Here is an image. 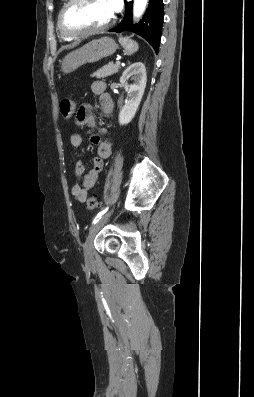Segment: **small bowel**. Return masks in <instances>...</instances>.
Masks as SVG:
<instances>
[{
	"instance_id": "c3829d8e",
	"label": "small bowel",
	"mask_w": 254,
	"mask_h": 397,
	"mask_svg": "<svg viewBox=\"0 0 254 397\" xmlns=\"http://www.w3.org/2000/svg\"><path fill=\"white\" fill-rule=\"evenodd\" d=\"M91 90L99 96V102L103 113L109 116L113 111V100L105 92L106 83L102 80H96L91 84ZM75 124L78 127L88 126L97 128L101 133L107 134L105 127L98 126L92 111V106L84 103L80 106L75 117ZM90 142L97 146V156L93 159V167L84 175L82 184H74L71 190L73 198L78 202H84L89 191L96 184L98 177L103 170L104 160L111 155V145L109 142L102 140L99 135H92ZM70 143L75 148L83 146V139L80 134L74 133L70 136ZM82 161H78L75 166V174L81 177L84 173Z\"/></svg>"
}]
</instances>
